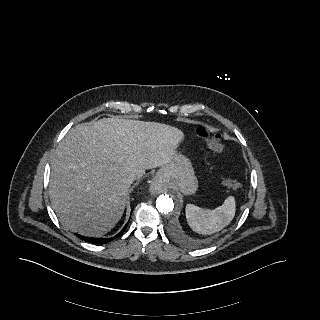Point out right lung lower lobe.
Wrapping results in <instances>:
<instances>
[{"mask_svg":"<svg viewBox=\"0 0 320 320\" xmlns=\"http://www.w3.org/2000/svg\"><path fill=\"white\" fill-rule=\"evenodd\" d=\"M128 223L126 224V226L121 230V232L116 235L115 237L113 238H89V237H85V236H81V235H77L79 238L83 239L84 241L86 242H89V243H93V244H105L113 239H115L116 237H118L119 235L122 234V232L125 231L126 227H127Z\"/></svg>","mask_w":320,"mask_h":320,"instance_id":"obj_1","label":"right lung lower lobe"}]
</instances>
